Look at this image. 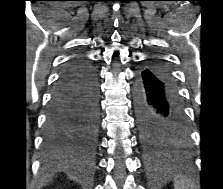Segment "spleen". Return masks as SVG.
Segmentation results:
<instances>
[{
  "instance_id": "1",
  "label": "spleen",
  "mask_w": 223,
  "mask_h": 189,
  "mask_svg": "<svg viewBox=\"0 0 223 189\" xmlns=\"http://www.w3.org/2000/svg\"><path fill=\"white\" fill-rule=\"evenodd\" d=\"M189 184L185 180H181L175 185V189H188Z\"/></svg>"
}]
</instances>
